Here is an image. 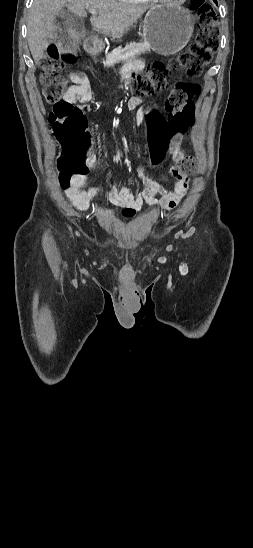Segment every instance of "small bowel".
I'll return each instance as SVG.
<instances>
[{
	"label": "small bowel",
	"mask_w": 253,
	"mask_h": 548,
	"mask_svg": "<svg viewBox=\"0 0 253 548\" xmlns=\"http://www.w3.org/2000/svg\"><path fill=\"white\" fill-rule=\"evenodd\" d=\"M142 63L134 61L127 63L121 70L122 79H126L134 71L141 69ZM72 85L64 95V100L84 109L86 104L92 99V93L87 76L83 72H73L70 75ZM127 107L130 110L139 108L140 116L147 113L148 107L142 103V100L134 96L129 99ZM164 147L167 146L172 159L177 163L182 155L181 142L182 137H169L163 139ZM90 167L97 165V158L94 154L89 157ZM171 174L175 178L172 186L161 184L156 178L150 177L144 166L137 168V176L142 180L144 188L136 192L129 187H120L113 185L108 194V206H125L123 211L125 217H131L135 211L140 210L144 205L158 206L163 210L175 208L186 195L189 188V178L187 175L174 172ZM86 175L75 176L69 185L62 186L65 194L72 204L79 210L87 211L91 208L94 198L99 192L98 187L85 189ZM160 195V198H157Z\"/></svg>",
	"instance_id": "small-bowel-1"
}]
</instances>
